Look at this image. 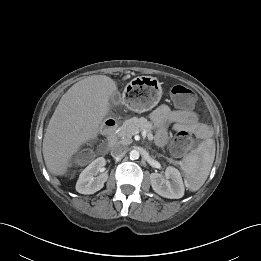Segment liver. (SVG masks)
Here are the masks:
<instances>
[{"label":"liver","mask_w":261,"mask_h":261,"mask_svg":"<svg viewBox=\"0 0 261 261\" xmlns=\"http://www.w3.org/2000/svg\"><path fill=\"white\" fill-rule=\"evenodd\" d=\"M117 89L113 79L94 75L75 83L61 97L43 138V157L51 174L64 175L81 145L98 136Z\"/></svg>","instance_id":"liver-1"}]
</instances>
